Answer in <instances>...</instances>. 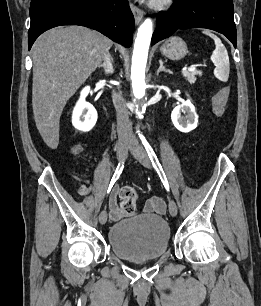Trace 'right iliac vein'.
Returning a JSON list of instances; mask_svg holds the SVG:
<instances>
[{
	"instance_id": "1",
	"label": "right iliac vein",
	"mask_w": 261,
	"mask_h": 306,
	"mask_svg": "<svg viewBox=\"0 0 261 306\" xmlns=\"http://www.w3.org/2000/svg\"><path fill=\"white\" fill-rule=\"evenodd\" d=\"M127 144L126 140H121L117 147V159L119 163H123L127 157ZM107 221V212L105 210L101 211L99 215V222L103 225Z\"/></svg>"
}]
</instances>
